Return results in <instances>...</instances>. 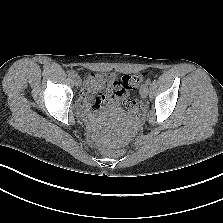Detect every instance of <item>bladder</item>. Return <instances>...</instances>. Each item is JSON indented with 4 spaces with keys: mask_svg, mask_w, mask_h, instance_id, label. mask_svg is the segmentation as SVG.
Listing matches in <instances>:
<instances>
[{
    "mask_svg": "<svg viewBox=\"0 0 223 223\" xmlns=\"http://www.w3.org/2000/svg\"><path fill=\"white\" fill-rule=\"evenodd\" d=\"M105 112L108 114H116L117 113L116 109H106Z\"/></svg>",
    "mask_w": 223,
    "mask_h": 223,
    "instance_id": "obj_1",
    "label": "bladder"
}]
</instances>
